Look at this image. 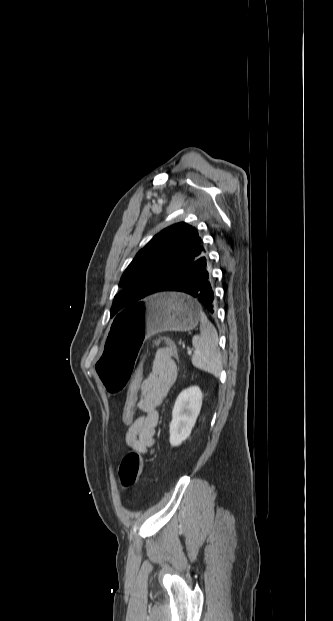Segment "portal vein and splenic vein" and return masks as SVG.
<instances>
[{
    "label": "portal vein and splenic vein",
    "instance_id": "18ae733b",
    "mask_svg": "<svg viewBox=\"0 0 333 621\" xmlns=\"http://www.w3.org/2000/svg\"><path fill=\"white\" fill-rule=\"evenodd\" d=\"M188 354L191 355L192 354V350H188Z\"/></svg>",
    "mask_w": 333,
    "mask_h": 621
}]
</instances>
